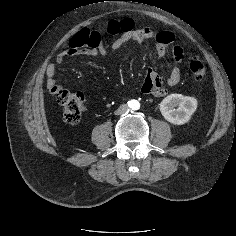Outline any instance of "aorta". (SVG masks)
I'll list each match as a JSON object with an SVG mask.
<instances>
[{
  "instance_id": "1",
  "label": "aorta",
  "mask_w": 236,
  "mask_h": 236,
  "mask_svg": "<svg viewBox=\"0 0 236 236\" xmlns=\"http://www.w3.org/2000/svg\"><path fill=\"white\" fill-rule=\"evenodd\" d=\"M130 107L133 109V110H138L140 108V103L137 101V100H132L130 102Z\"/></svg>"
}]
</instances>
